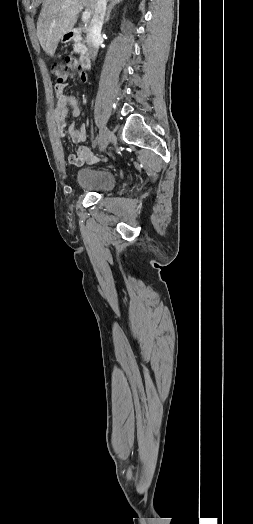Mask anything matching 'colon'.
<instances>
[{
	"label": "colon",
	"mask_w": 253,
	"mask_h": 524,
	"mask_svg": "<svg viewBox=\"0 0 253 524\" xmlns=\"http://www.w3.org/2000/svg\"><path fill=\"white\" fill-rule=\"evenodd\" d=\"M51 73L55 78V89L63 90L71 77L79 80L81 85L88 83L86 70L81 68L75 53H64L61 63L51 67Z\"/></svg>",
	"instance_id": "5ec220e1"
}]
</instances>
